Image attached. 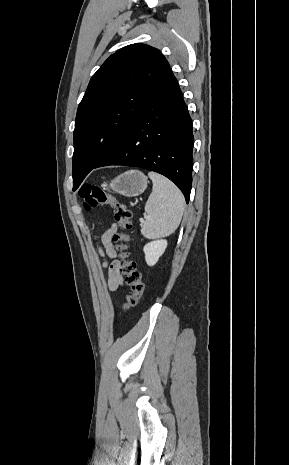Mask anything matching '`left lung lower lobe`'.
<instances>
[{"mask_svg": "<svg viewBox=\"0 0 289 465\" xmlns=\"http://www.w3.org/2000/svg\"><path fill=\"white\" fill-rule=\"evenodd\" d=\"M192 150L191 118L172 75L149 96L134 121L94 168L126 165L158 172L179 187L188 203Z\"/></svg>", "mask_w": 289, "mask_h": 465, "instance_id": "1", "label": "left lung lower lobe"}]
</instances>
